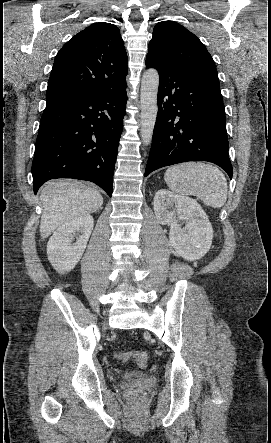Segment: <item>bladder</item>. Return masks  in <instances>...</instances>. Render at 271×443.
<instances>
[{
	"instance_id": "31cf9c89",
	"label": "bladder",
	"mask_w": 271,
	"mask_h": 443,
	"mask_svg": "<svg viewBox=\"0 0 271 443\" xmlns=\"http://www.w3.org/2000/svg\"><path fill=\"white\" fill-rule=\"evenodd\" d=\"M144 373L143 372H139V371H130V372H125L122 375V378L124 379H128V380H135V379H141L144 377Z\"/></svg>"
}]
</instances>
